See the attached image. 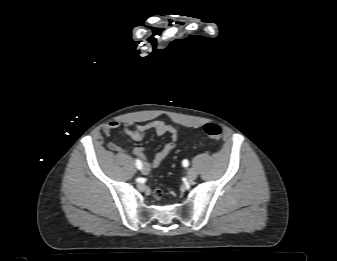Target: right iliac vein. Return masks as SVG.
Wrapping results in <instances>:
<instances>
[{"instance_id":"obj_1","label":"right iliac vein","mask_w":337,"mask_h":261,"mask_svg":"<svg viewBox=\"0 0 337 261\" xmlns=\"http://www.w3.org/2000/svg\"><path fill=\"white\" fill-rule=\"evenodd\" d=\"M149 172H150L149 167L147 165H144L143 168H142V173L144 175H147Z\"/></svg>"}]
</instances>
